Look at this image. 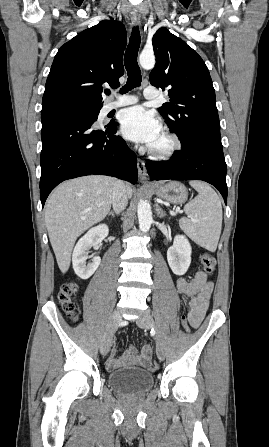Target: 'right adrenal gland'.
Listing matches in <instances>:
<instances>
[{"mask_svg":"<svg viewBox=\"0 0 269 447\" xmlns=\"http://www.w3.org/2000/svg\"><path fill=\"white\" fill-rule=\"evenodd\" d=\"M107 216H112V218H115L114 212H108Z\"/></svg>","mask_w":269,"mask_h":447,"instance_id":"obj_1","label":"right adrenal gland"}]
</instances>
